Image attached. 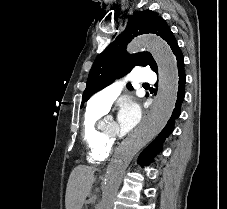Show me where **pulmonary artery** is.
I'll return each mask as SVG.
<instances>
[{
  "label": "pulmonary artery",
  "instance_id": "obj_1",
  "mask_svg": "<svg viewBox=\"0 0 227 209\" xmlns=\"http://www.w3.org/2000/svg\"><path fill=\"white\" fill-rule=\"evenodd\" d=\"M131 75H137L134 83H154V78H156V73L152 70H145V67H142V70H131ZM121 88V81L115 80L107 88H100V91H96V95H90L87 105L107 109L115 96L120 93Z\"/></svg>",
  "mask_w": 227,
  "mask_h": 209
}]
</instances>
